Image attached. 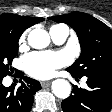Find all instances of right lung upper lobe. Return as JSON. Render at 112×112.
<instances>
[{
    "label": "right lung upper lobe",
    "mask_w": 112,
    "mask_h": 112,
    "mask_svg": "<svg viewBox=\"0 0 112 112\" xmlns=\"http://www.w3.org/2000/svg\"><path fill=\"white\" fill-rule=\"evenodd\" d=\"M41 17L19 16L11 13L0 15V34H22L28 27L43 21Z\"/></svg>",
    "instance_id": "1"
}]
</instances>
